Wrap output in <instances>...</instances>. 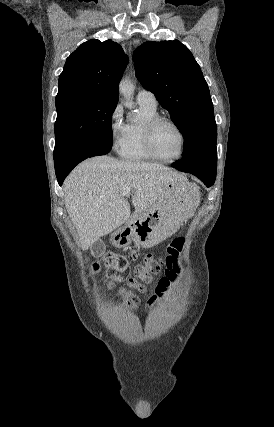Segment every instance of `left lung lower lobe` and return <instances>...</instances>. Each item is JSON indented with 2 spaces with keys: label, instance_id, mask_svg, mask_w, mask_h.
<instances>
[{
  "label": "left lung lower lobe",
  "instance_id": "obj_1",
  "mask_svg": "<svg viewBox=\"0 0 274 427\" xmlns=\"http://www.w3.org/2000/svg\"><path fill=\"white\" fill-rule=\"evenodd\" d=\"M173 167L177 168L180 171L183 172H188L191 173L193 175H195L196 177H198L207 187H210L214 184L215 182V178H216V172H202L196 169H192V168H188V167H184L181 164L178 163H173L172 164Z\"/></svg>",
  "mask_w": 274,
  "mask_h": 427
}]
</instances>
